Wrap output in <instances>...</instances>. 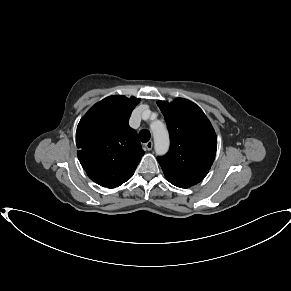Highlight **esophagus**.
Listing matches in <instances>:
<instances>
[{"mask_svg":"<svg viewBox=\"0 0 291 291\" xmlns=\"http://www.w3.org/2000/svg\"><path fill=\"white\" fill-rule=\"evenodd\" d=\"M145 147L147 150H151L153 147V142L152 141H148L147 143H145Z\"/></svg>","mask_w":291,"mask_h":291,"instance_id":"1","label":"esophagus"}]
</instances>
